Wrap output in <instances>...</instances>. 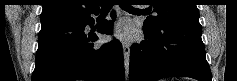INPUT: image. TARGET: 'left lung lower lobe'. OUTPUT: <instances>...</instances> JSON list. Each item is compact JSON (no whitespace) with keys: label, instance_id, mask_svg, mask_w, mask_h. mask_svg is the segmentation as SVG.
<instances>
[{"label":"left lung lower lobe","instance_id":"1","mask_svg":"<svg viewBox=\"0 0 237 81\" xmlns=\"http://www.w3.org/2000/svg\"><path fill=\"white\" fill-rule=\"evenodd\" d=\"M143 31L145 40L131 47L130 81L178 76L211 81L200 24L168 22Z\"/></svg>","mask_w":237,"mask_h":81}]
</instances>
